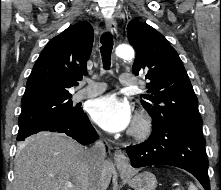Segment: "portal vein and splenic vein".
<instances>
[{
    "label": "portal vein and splenic vein",
    "mask_w": 221,
    "mask_h": 190,
    "mask_svg": "<svg viewBox=\"0 0 221 190\" xmlns=\"http://www.w3.org/2000/svg\"><path fill=\"white\" fill-rule=\"evenodd\" d=\"M66 185H67L68 187H72V183H70V182H68Z\"/></svg>",
    "instance_id": "portal-vein-and-splenic-vein-1"
}]
</instances>
